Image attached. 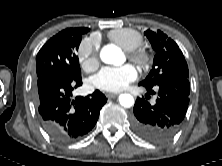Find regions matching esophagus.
Segmentation results:
<instances>
[{
    "label": "esophagus",
    "instance_id": "1",
    "mask_svg": "<svg viewBox=\"0 0 222 166\" xmlns=\"http://www.w3.org/2000/svg\"><path fill=\"white\" fill-rule=\"evenodd\" d=\"M119 95V93H108V94H106V96L108 97V98H114V97H116V96H118Z\"/></svg>",
    "mask_w": 222,
    "mask_h": 166
}]
</instances>
